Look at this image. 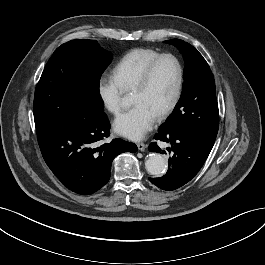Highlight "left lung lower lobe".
I'll use <instances>...</instances> for the list:
<instances>
[{
    "instance_id": "left-lung-lower-lobe-1",
    "label": "left lung lower lobe",
    "mask_w": 265,
    "mask_h": 265,
    "mask_svg": "<svg viewBox=\"0 0 265 265\" xmlns=\"http://www.w3.org/2000/svg\"><path fill=\"white\" fill-rule=\"evenodd\" d=\"M156 140L171 144L168 151H173V156L168 160L167 173L160 178H149L150 182L163 190H175L189 182L201 169L211 150L207 149L194 137L183 133H158ZM149 150L160 152L161 149L153 142ZM163 153L165 151H162Z\"/></svg>"
}]
</instances>
